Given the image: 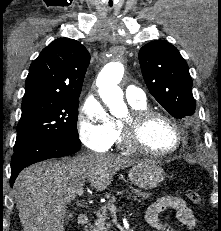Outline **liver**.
Listing matches in <instances>:
<instances>
[{"instance_id": "obj_1", "label": "liver", "mask_w": 221, "mask_h": 231, "mask_svg": "<svg viewBox=\"0 0 221 231\" xmlns=\"http://www.w3.org/2000/svg\"><path fill=\"white\" fill-rule=\"evenodd\" d=\"M136 162L122 155L88 153L24 169L14 184L23 231H64L67 205L87 181L103 191L118 170Z\"/></svg>"}]
</instances>
